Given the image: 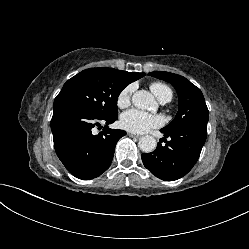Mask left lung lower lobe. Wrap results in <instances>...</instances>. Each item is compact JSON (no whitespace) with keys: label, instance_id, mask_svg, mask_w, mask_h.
<instances>
[{"label":"left lung lower lobe","instance_id":"1","mask_svg":"<svg viewBox=\"0 0 249 249\" xmlns=\"http://www.w3.org/2000/svg\"><path fill=\"white\" fill-rule=\"evenodd\" d=\"M162 132V131H161ZM166 145L158 143L151 153H143L144 166L156 177L174 181L186 175L197 162L207 137L206 124H194L172 132H162Z\"/></svg>","mask_w":249,"mask_h":249}]
</instances>
